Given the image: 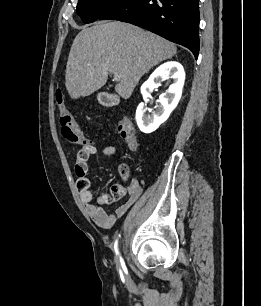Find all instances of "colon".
<instances>
[{
	"label": "colon",
	"mask_w": 261,
	"mask_h": 306,
	"mask_svg": "<svg viewBox=\"0 0 261 306\" xmlns=\"http://www.w3.org/2000/svg\"><path fill=\"white\" fill-rule=\"evenodd\" d=\"M55 102L57 105L59 124L63 136L71 143L80 145L81 149L78 153V158H87L93 151V145L90 141L83 137L82 131L76 122L70 110L64 104V98L61 90L55 91ZM118 131L121 137L126 141L130 148H136L137 141L132 125L126 121L121 120L117 124ZM121 175L126 178L128 176V169L125 166L120 168ZM79 189H85L89 186L87 181H78ZM122 196V190L119 188H112L99 198L102 205H110Z\"/></svg>",
	"instance_id": "5ec220e1"
}]
</instances>
